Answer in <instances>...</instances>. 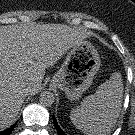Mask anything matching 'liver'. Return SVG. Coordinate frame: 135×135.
I'll return each mask as SVG.
<instances>
[{
  "label": "liver",
  "instance_id": "liver-1",
  "mask_svg": "<svg viewBox=\"0 0 135 135\" xmlns=\"http://www.w3.org/2000/svg\"><path fill=\"white\" fill-rule=\"evenodd\" d=\"M86 37L59 24L0 26V130L15 122L28 93L40 90L45 69Z\"/></svg>",
  "mask_w": 135,
  "mask_h": 135
}]
</instances>
